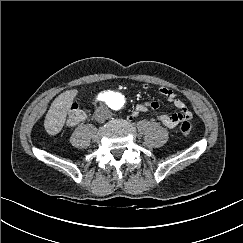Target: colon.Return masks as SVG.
Instances as JSON below:
<instances>
[{"instance_id": "1", "label": "colon", "mask_w": 243, "mask_h": 243, "mask_svg": "<svg viewBox=\"0 0 243 243\" xmlns=\"http://www.w3.org/2000/svg\"><path fill=\"white\" fill-rule=\"evenodd\" d=\"M86 117V112L84 109L80 108L78 105L74 104L67 115V124L74 126L82 122ZM192 124L188 120H184L180 125V131L184 136H188L191 132Z\"/></svg>"}]
</instances>
